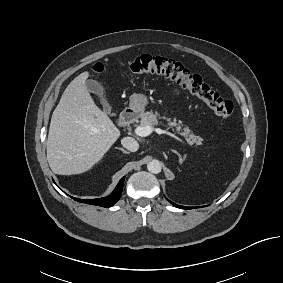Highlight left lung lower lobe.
I'll use <instances>...</instances> for the list:
<instances>
[{
  "label": "left lung lower lobe",
  "mask_w": 283,
  "mask_h": 283,
  "mask_svg": "<svg viewBox=\"0 0 283 283\" xmlns=\"http://www.w3.org/2000/svg\"><path fill=\"white\" fill-rule=\"evenodd\" d=\"M169 201V200H168ZM171 204H173L175 207H177V208H181V209H191V208H193V207H186V206H180V205H177V204H175V203H173V202H171V201H169Z\"/></svg>",
  "instance_id": "1"
}]
</instances>
